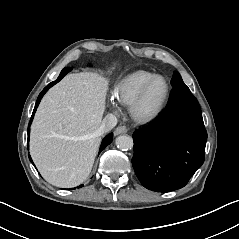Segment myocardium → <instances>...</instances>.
<instances>
[{"mask_svg": "<svg viewBox=\"0 0 239 239\" xmlns=\"http://www.w3.org/2000/svg\"><path fill=\"white\" fill-rule=\"evenodd\" d=\"M159 79H163L166 82V85H167V91H166L165 98L162 101L159 108L153 114L144 115L140 112V107H141L149 89L153 85V83L155 81L159 80ZM170 97H171V84H170L169 80L165 76L156 75L153 78H151L142 87V89L139 91L137 96L134 98V100L130 104V114H131L132 118L139 123H142V124L153 123L163 115V113L166 110V108L168 106V103L170 101Z\"/></svg>", "mask_w": 239, "mask_h": 239, "instance_id": "1", "label": "myocardium"}]
</instances>
